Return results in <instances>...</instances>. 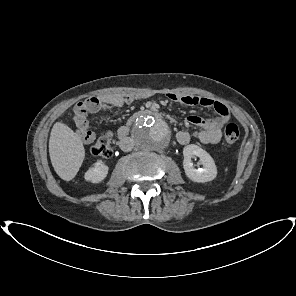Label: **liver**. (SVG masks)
Returning <instances> with one entry per match:
<instances>
[{"label":"liver","mask_w":296,"mask_h":296,"mask_svg":"<svg viewBox=\"0 0 296 296\" xmlns=\"http://www.w3.org/2000/svg\"><path fill=\"white\" fill-rule=\"evenodd\" d=\"M49 155L57 175L72 180L85 158V149L80 137L66 124L56 122L50 133Z\"/></svg>","instance_id":"1"}]
</instances>
